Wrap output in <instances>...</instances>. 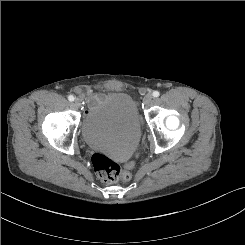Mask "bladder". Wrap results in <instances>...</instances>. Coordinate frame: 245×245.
Wrapping results in <instances>:
<instances>
[{
  "label": "bladder",
  "mask_w": 245,
  "mask_h": 245,
  "mask_svg": "<svg viewBox=\"0 0 245 245\" xmlns=\"http://www.w3.org/2000/svg\"><path fill=\"white\" fill-rule=\"evenodd\" d=\"M81 135L92 149L118 158L130 156L141 137L140 116L133 98L124 92L105 95L83 118Z\"/></svg>",
  "instance_id": "bladder-1"
}]
</instances>
